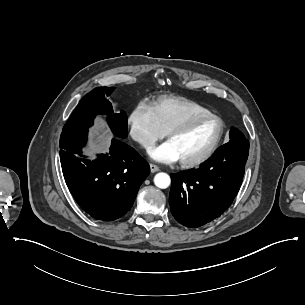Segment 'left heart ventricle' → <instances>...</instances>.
<instances>
[{"label":"left heart ventricle","instance_id":"1","mask_svg":"<svg viewBox=\"0 0 305 305\" xmlns=\"http://www.w3.org/2000/svg\"><path fill=\"white\" fill-rule=\"evenodd\" d=\"M220 132L221 122L210 118L171 135L169 140L178 151L180 160H189L206 152L216 142Z\"/></svg>","mask_w":305,"mask_h":305}]
</instances>
